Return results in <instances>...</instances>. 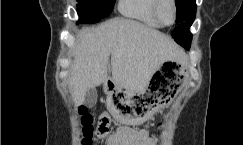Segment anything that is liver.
Masks as SVG:
<instances>
[{"label":"liver","instance_id":"1","mask_svg":"<svg viewBox=\"0 0 243 145\" xmlns=\"http://www.w3.org/2000/svg\"><path fill=\"white\" fill-rule=\"evenodd\" d=\"M132 92H144L154 72L166 61L185 62L181 48L167 35L138 21L114 18L78 33L69 77L76 104L86 92L107 80Z\"/></svg>","mask_w":243,"mask_h":145}]
</instances>
